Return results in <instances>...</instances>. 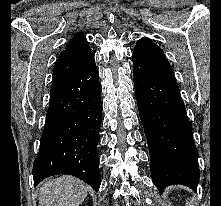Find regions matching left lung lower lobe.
<instances>
[{"label":"left lung lower lobe","mask_w":221,"mask_h":206,"mask_svg":"<svg viewBox=\"0 0 221 206\" xmlns=\"http://www.w3.org/2000/svg\"><path fill=\"white\" fill-rule=\"evenodd\" d=\"M133 76L155 186L161 192L169 185L183 184L196 191L198 152L176 80L134 71Z\"/></svg>","instance_id":"obj_1"}]
</instances>
